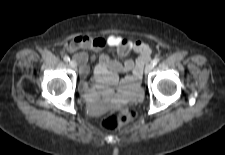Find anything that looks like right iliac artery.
<instances>
[{"label":"right iliac artery","instance_id":"obj_1","mask_svg":"<svg viewBox=\"0 0 225 155\" xmlns=\"http://www.w3.org/2000/svg\"><path fill=\"white\" fill-rule=\"evenodd\" d=\"M64 61L65 62H69L70 61V58L68 56H64Z\"/></svg>","mask_w":225,"mask_h":155}]
</instances>
